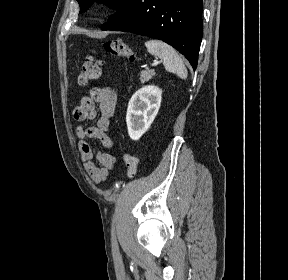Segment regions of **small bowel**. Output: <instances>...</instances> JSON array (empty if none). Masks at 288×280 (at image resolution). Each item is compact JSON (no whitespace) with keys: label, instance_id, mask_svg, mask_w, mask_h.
Segmentation results:
<instances>
[{"label":"small bowel","instance_id":"small-bowel-1","mask_svg":"<svg viewBox=\"0 0 288 280\" xmlns=\"http://www.w3.org/2000/svg\"><path fill=\"white\" fill-rule=\"evenodd\" d=\"M96 105L100 109V117L95 126L77 128L79 137L78 148L84 168L95 183L105 181L114 168L116 157L105 150H94L90 139H98L103 148L112 149L115 141L109 136L111 119L117 112L116 93L108 88H92L88 95L81 98L73 111V117L78 122L92 121L97 117Z\"/></svg>","mask_w":288,"mask_h":280}]
</instances>
